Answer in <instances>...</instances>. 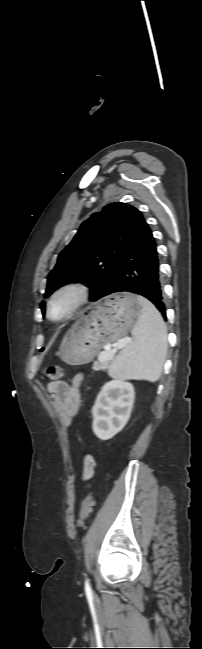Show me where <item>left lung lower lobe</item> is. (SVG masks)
I'll use <instances>...</instances> for the list:
<instances>
[{"label":"left lung lower lobe","mask_w":202,"mask_h":649,"mask_svg":"<svg viewBox=\"0 0 202 649\" xmlns=\"http://www.w3.org/2000/svg\"><path fill=\"white\" fill-rule=\"evenodd\" d=\"M121 291L146 297L158 308L164 319H167L156 243L145 220L127 242L107 284L96 300Z\"/></svg>","instance_id":"obj_1"}]
</instances>
